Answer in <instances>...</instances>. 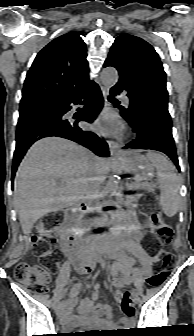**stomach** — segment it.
Instances as JSON below:
<instances>
[{"label":"stomach","mask_w":194,"mask_h":336,"mask_svg":"<svg viewBox=\"0 0 194 336\" xmlns=\"http://www.w3.org/2000/svg\"><path fill=\"white\" fill-rule=\"evenodd\" d=\"M123 169L136 176V180L147 182L153 178L154 166L150 161L137 152H126L119 158Z\"/></svg>","instance_id":"obj_1"}]
</instances>
